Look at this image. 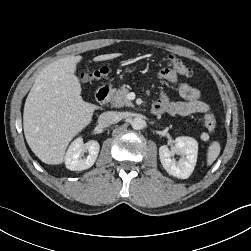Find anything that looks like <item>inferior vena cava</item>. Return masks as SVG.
Here are the masks:
<instances>
[{
  "instance_id": "602c4592",
  "label": "inferior vena cava",
  "mask_w": 251,
  "mask_h": 251,
  "mask_svg": "<svg viewBox=\"0 0 251 251\" xmlns=\"http://www.w3.org/2000/svg\"><path fill=\"white\" fill-rule=\"evenodd\" d=\"M119 121V116L116 112L107 111L102 113L98 118V123L102 126H109Z\"/></svg>"
}]
</instances>
